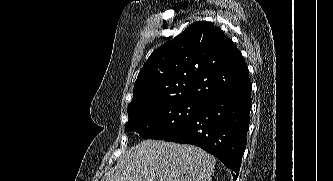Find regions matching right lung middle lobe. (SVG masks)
<instances>
[{"label":"right lung middle lobe","mask_w":333,"mask_h":181,"mask_svg":"<svg viewBox=\"0 0 333 181\" xmlns=\"http://www.w3.org/2000/svg\"><path fill=\"white\" fill-rule=\"evenodd\" d=\"M201 104L191 100H171L143 106L128 113L125 130L135 131L144 139L167 141L187 126Z\"/></svg>","instance_id":"right-lung-middle-lobe-1"}]
</instances>
